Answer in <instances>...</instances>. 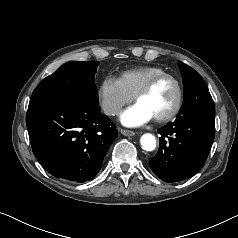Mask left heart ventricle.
I'll list each match as a JSON object with an SVG mask.
<instances>
[{
  "label": "left heart ventricle",
  "mask_w": 238,
  "mask_h": 238,
  "mask_svg": "<svg viewBox=\"0 0 238 238\" xmlns=\"http://www.w3.org/2000/svg\"><path fill=\"white\" fill-rule=\"evenodd\" d=\"M176 96L175 84L169 79H163L149 93L140 97L137 103L146 108L155 118L165 115L173 108Z\"/></svg>",
  "instance_id": "1"
}]
</instances>
